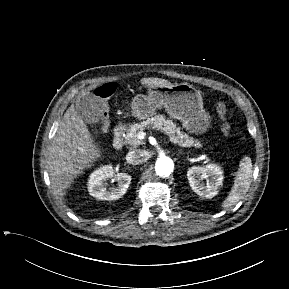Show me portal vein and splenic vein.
<instances>
[{
  "instance_id": "18ae733b",
  "label": "portal vein and splenic vein",
  "mask_w": 289,
  "mask_h": 289,
  "mask_svg": "<svg viewBox=\"0 0 289 289\" xmlns=\"http://www.w3.org/2000/svg\"><path fill=\"white\" fill-rule=\"evenodd\" d=\"M145 136H146V133L143 132V131H140V132H138L137 138H138L139 140H142V139L145 138Z\"/></svg>"
}]
</instances>
